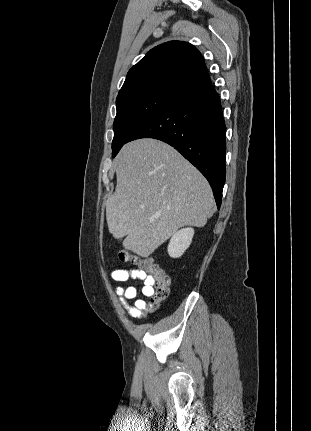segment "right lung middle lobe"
Here are the masks:
<instances>
[{
	"instance_id": "dd1d6c3e",
	"label": "right lung middle lobe",
	"mask_w": 311,
	"mask_h": 431,
	"mask_svg": "<svg viewBox=\"0 0 311 431\" xmlns=\"http://www.w3.org/2000/svg\"><path fill=\"white\" fill-rule=\"evenodd\" d=\"M179 97L175 93L155 88H143L118 95L112 157L128 142L137 127Z\"/></svg>"
}]
</instances>
